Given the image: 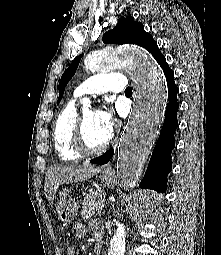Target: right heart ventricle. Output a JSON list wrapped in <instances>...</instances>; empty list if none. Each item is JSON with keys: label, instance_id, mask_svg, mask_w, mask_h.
<instances>
[{"label": "right heart ventricle", "instance_id": "1", "mask_svg": "<svg viewBox=\"0 0 221 255\" xmlns=\"http://www.w3.org/2000/svg\"><path fill=\"white\" fill-rule=\"evenodd\" d=\"M79 118L77 107L71 101L62 108L53 127V142L59 159L75 163L82 158L74 145V133Z\"/></svg>", "mask_w": 221, "mask_h": 255}]
</instances>
